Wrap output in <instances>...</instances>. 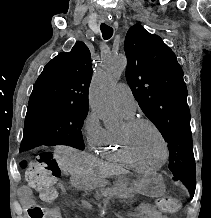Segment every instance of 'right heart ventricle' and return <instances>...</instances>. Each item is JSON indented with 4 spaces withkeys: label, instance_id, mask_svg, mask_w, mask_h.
<instances>
[{
    "label": "right heart ventricle",
    "instance_id": "obj_1",
    "mask_svg": "<svg viewBox=\"0 0 211 218\" xmlns=\"http://www.w3.org/2000/svg\"><path fill=\"white\" fill-rule=\"evenodd\" d=\"M122 113L127 120L133 118V114L124 111H122ZM95 148L94 154H100L102 157L115 161L117 165H124V163H126V169L134 168V165L131 164L132 162L123 149L119 131L106 129L102 139Z\"/></svg>",
    "mask_w": 211,
    "mask_h": 218
}]
</instances>
